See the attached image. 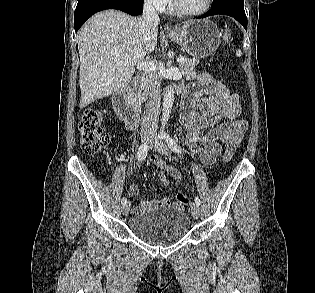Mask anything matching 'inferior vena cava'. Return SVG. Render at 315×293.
Returning <instances> with one entry per match:
<instances>
[{
	"label": "inferior vena cava",
	"instance_id": "602c4592",
	"mask_svg": "<svg viewBox=\"0 0 315 293\" xmlns=\"http://www.w3.org/2000/svg\"><path fill=\"white\" fill-rule=\"evenodd\" d=\"M159 22L160 19L152 0H145L142 14V31L145 41H151V33L157 28ZM144 78L146 79V104L142 118L141 134L155 136L161 103L160 79L150 76L149 73Z\"/></svg>",
	"mask_w": 315,
	"mask_h": 293
}]
</instances>
